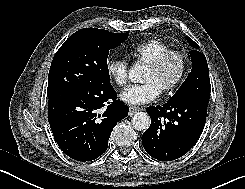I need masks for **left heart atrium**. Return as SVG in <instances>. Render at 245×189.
Listing matches in <instances>:
<instances>
[{
    "mask_svg": "<svg viewBox=\"0 0 245 189\" xmlns=\"http://www.w3.org/2000/svg\"><path fill=\"white\" fill-rule=\"evenodd\" d=\"M161 93V89L153 82L130 85L120 94L121 99L129 104L139 105L153 101Z\"/></svg>",
    "mask_w": 245,
    "mask_h": 189,
    "instance_id": "1",
    "label": "left heart atrium"
}]
</instances>
